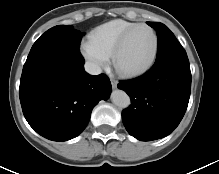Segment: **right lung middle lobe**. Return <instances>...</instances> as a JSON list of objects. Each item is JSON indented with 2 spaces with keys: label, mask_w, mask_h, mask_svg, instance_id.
Wrapping results in <instances>:
<instances>
[{
  "label": "right lung middle lobe",
  "mask_w": 219,
  "mask_h": 174,
  "mask_svg": "<svg viewBox=\"0 0 219 174\" xmlns=\"http://www.w3.org/2000/svg\"><path fill=\"white\" fill-rule=\"evenodd\" d=\"M84 33L70 25H58L47 30L32 46L25 65L54 50H77Z\"/></svg>",
  "instance_id": "right-lung-middle-lobe-1"
}]
</instances>
